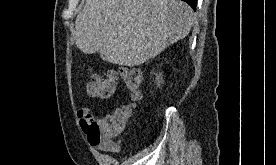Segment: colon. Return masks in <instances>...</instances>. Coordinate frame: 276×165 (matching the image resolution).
Segmentation results:
<instances>
[{"mask_svg":"<svg viewBox=\"0 0 276 165\" xmlns=\"http://www.w3.org/2000/svg\"><path fill=\"white\" fill-rule=\"evenodd\" d=\"M121 77L130 90L133 100L140 99L141 73L136 69L125 68L121 70ZM117 80L118 75L114 71L104 74L92 73L87 83V92L92 97L108 100L116 92ZM131 113L132 108L124 106L105 120L87 114L81 119V125L92 145L108 144L114 148L113 137L125 129Z\"/></svg>","mask_w":276,"mask_h":165,"instance_id":"colon-1","label":"colon"}]
</instances>
